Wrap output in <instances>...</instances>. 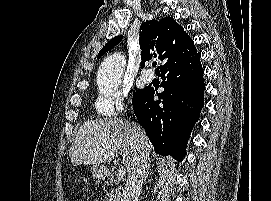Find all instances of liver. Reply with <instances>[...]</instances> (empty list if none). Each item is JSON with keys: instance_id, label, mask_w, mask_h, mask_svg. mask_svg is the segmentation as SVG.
I'll list each match as a JSON object with an SVG mask.
<instances>
[{"instance_id": "6515ba94", "label": "liver", "mask_w": 271, "mask_h": 201, "mask_svg": "<svg viewBox=\"0 0 271 201\" xmlns=\"http://www.w3.org/2000/svg\"><path fill=\"white\" fill-rule=\"evenodd\" d=\"M111 146L122 151L123 164L129 173L137 155L132 125L121 118H104L84 122L69 148L73 166L101 165L114 159ZM148 152L152 149L148 141Z\"/></svg>"}]
</instances>
